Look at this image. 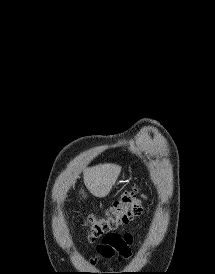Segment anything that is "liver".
<instances>
[{
	"instance_id": "liver-1",
	"label": "liver",
	"mask_w": 215,
	"mask_h": 274,
	"mask_svg": "<svg viewBox=\"0 0 215 274\" xmlns=\"http://www.w3.org/2000/svg\"><path fill=\"white\" fill-rule=\"evenodd\" d=\"M120 171L116 164H100L84 171V181L92 195L103 198L110 193Z\"/></svg>"
}]
</instances>
